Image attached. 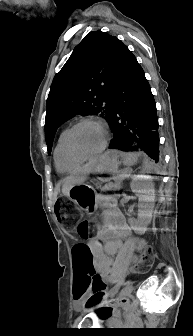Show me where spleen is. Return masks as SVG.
<instances>
[{
  "mask_svg": "<svg viewBox=\"0 0 193 336\" xmlns=\"http://www.w3.org/2000/svg\"><path fill=\"white\" fill-rule=\"evenodd\" d=\"M135 161V157L134 156H129L128 158L125 159V164L131 165L133 164V162Z\"/></svg>",
  "mask_w": 193,
  "mask_h": 336,
  "instance_id": "obj_1",
  "label": "spleen"
}]
</instances>
